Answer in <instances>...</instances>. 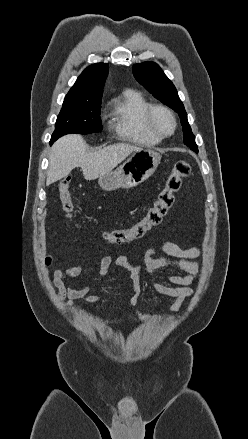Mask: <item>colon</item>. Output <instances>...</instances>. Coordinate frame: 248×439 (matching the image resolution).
Segmentation results:
<instances>
[{"instance_id": "colon-1", "label": "colon", "mask_w": 248, "mask_h": 439, "mask_svg": "<svg viewBox=\"0 0 248 439\" xmlns=\"http://www.w3.org/2000/svg\"><path fill=\"white\" fill-rule=\"evenodd\" d=\"M191 174V166L186 161L175 164L171 174L166 178L165 185L157 199L145 216L129 228L105 231L99 234L101 241L108 245H120L142 237L152 227L159 224L174 201V195L181 188L182 182ZM61 210L67 218L72 217L73 202L70 193L69 179H63L59 184Z\"/></svg>"}]
</instances>
